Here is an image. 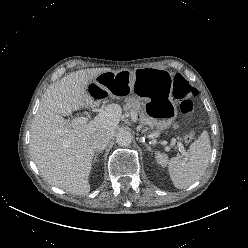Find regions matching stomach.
Returning a JSON list of instances; mask_svg holds the SVG:
<instances>
[{
	"instance_id": "obj_1",
	"label": "stomach",
	"mask_w": 248,
	"mask_h": 248,
	"mask_svg": "<svg viewBox=\"0 0 248 248\" xmlns=\"http://www.w3.org/2000/svg\"><path fill=\"white\" fill-rule=\"evenodd\" d=\"M172 80L170 72L159 68L106 71L89 84L88 91L94 98L99 97L96 99L107 96L127 98L130 94L139 96L145 101L148 124L159 133L168 129L177 117V108L171 96Z\"/></svg>"
}]
</instances>
